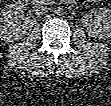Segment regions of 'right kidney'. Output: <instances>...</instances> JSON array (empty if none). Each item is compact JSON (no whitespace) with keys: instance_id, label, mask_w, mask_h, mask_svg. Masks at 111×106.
I'll use <instances>...</instances> for the list:
<instances>
[{"instance_id":"1","label":"right kidney","mask_w":111,"mask_h":106,"mask_svg":"<svg viewBox=\"0 0 111 106\" xmlns=\"http://www.w3.org/2000/svg\"><path fill=\"white\" fill-rule=\"evenodd\" d=\"M24 3L16 1L1 10V39L14 41L21 39L34 25L35 19L24 16Z\"/></svg>"}]
</instances>
